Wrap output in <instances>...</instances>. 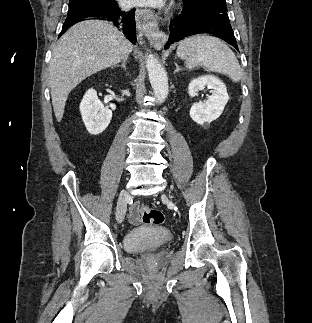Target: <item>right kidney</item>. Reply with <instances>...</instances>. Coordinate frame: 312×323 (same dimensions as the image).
I'll return each mask as SVG.
<instances>
[{
	"label": "right kidney",
	"mask_w": 312,
	"mask_h": 323,
	"mask_svg": "<svg viewBox=\"0 0 312 323\" xmlns=\"http://www.w3.org/2000/svg\"><path fill=\"white\" fill-rule=\"evenodd\" d=\"M82 120L92 136H98L106 130L112 118L111 110L104 108L102 102L98 100L96 90H87L80 104Z\"/></svg>",
	"instance_id": "1"
}]
</instances>
